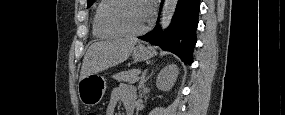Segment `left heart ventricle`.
<instances>
[{
    "label": "left heart ventricle",
    "instance_id": "1",
    "mask_svg": "<svg viewBox=\"0 0 285 115\" xmlns=\"http://www.w3.org/2000/svg\"><path fill=\"white\" fill-rule=\"evenodd\" d=\"M113 18L125 29L138 31L147 23V8L139 1L125 2L114 11Z\"/></svg>",
    "mask_w": 285,
    "mask_h": 115
}]
</instances>
